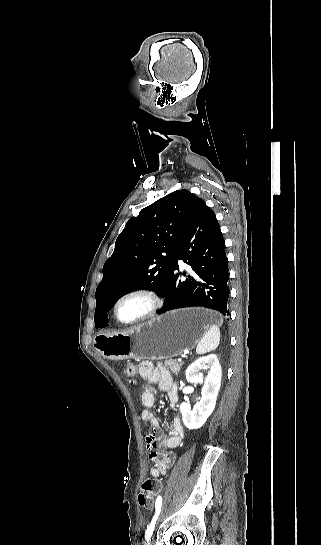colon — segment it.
Listing matches in <instances>:
<instances>
[{
    "label": "colon",
    "instance_id": "colon-1",
    "mask_svg": "<svg viewBox=\"0 0 321 545\" xmlns=\"http://www.w3.org/2000/svg\"><path fill=\"white\" fill-rule=\"evenodd\" d=\"M124 376L129 380L130 383L134 382L135 378V367L131 364H128L122 368ZM162 490V483L156 478L146 479L142 485L138 495L139 504L145 508H152L155 502L156 497Z\"/></svg>",
    "mask_w": 321,
    "mask_h": 545
}]
</instances>
